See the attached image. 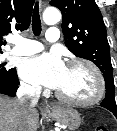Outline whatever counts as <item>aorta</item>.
Segmentation results:
<instances>
[{
  "label": "aorta",
  "instance_id": "762f6f07",
  "mask_svg": "<svg viewBox=\"0 0 117 131\" xmlns=\"http://www.w3.org/2000/svg\"><path fill=\"white\" fill-rule=\"evenodd\" d=\"M44 22L48 25H54L61 19V13L56 8H47L43 13Z\"/></svg>",
  "mask_w": 117,
  "mask_h": 131
}]
</instances>
